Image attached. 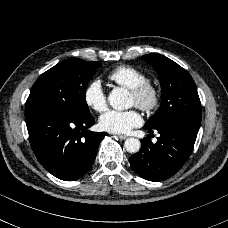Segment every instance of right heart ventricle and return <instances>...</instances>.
I'll return each mask as SVG.
<instances>
[{
	"label": "right heart ventricle",
	"instance_id": "obj_1",
	"mask_svg": "<svg viewBox=\"0 0 228 228\" xmlns=\"http://www.w3.org/2000/svg\"><path fill=\"white\" fill-rule=\"evenodd\" d=\"M108 78L128 90L147 80V76L142 71L130 65L117 66L108 73Z\"/></svg>",
	"mask_w": 228,
	"mask_h": 228
}]
</instances>
